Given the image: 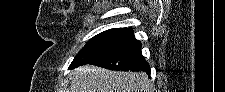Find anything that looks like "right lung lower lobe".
<instances>
[{"label":"right lung lower lobe","instance_id":"obj_1","mask_svg":"<svg viewBox=\"0 0 225 92\" xmlns=\"http://www.w3.org/2000/svg\"><path fill=\"white\" fill-rule=\"evenodd\" d=\"M88 64L112 70L145 71L150 76V67L141 53L139 41L105 54Z\"/></svg>","mask_w":225,"mask_h":92}]
</instances>
